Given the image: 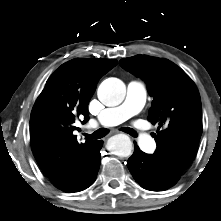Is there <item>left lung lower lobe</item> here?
<instances>
[{
	"label": "left lung lower lobe",
	"instance_id": "left-lung-lower-lobe-1",
	"mask_svg": "<svg viewBox=\"0 0 221 221\" xmlns=\"http://www.w3.org/2000/svg\"><path fill=\"white\" fill-rule=\"evenodd\" d=\"M127 166L136 182L147 190L163 191L176 184L163 174L153 155L142 152L136 144Z\"/></svg>",
	"mask_w": 221,
	"mask_h": 221
}]
</instances>
